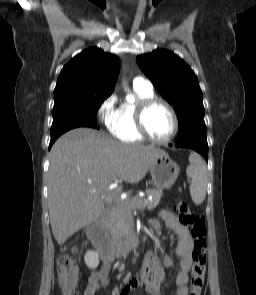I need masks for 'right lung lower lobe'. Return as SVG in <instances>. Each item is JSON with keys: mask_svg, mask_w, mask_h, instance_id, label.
<instances>
[{"mask_svg": "<svg viewBox=\"0 0 256 295\" xmlns=\"http://www.w3.org/2000/svg\"><path fill=\"white\" fill-rule=\"evenodd\" d=\"M76 127H93V128H99L97 126V121L96 119H89L88 121L84 122L81 125H76V126H71V127H67V128H63V129H58L55 131H51V141H50V145H49V149L51 148L52 144L55 142V140L64 132L76 128Z\"/></svg>", "mask_w": 256, "mask_h": 295, "instance_id": "obj_1", "label": "right lung lower lobe"}]
</instances>
